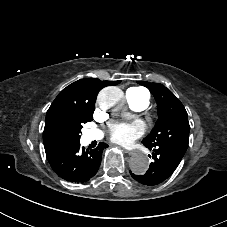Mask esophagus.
<instances>
[{
    "label": "esophagus",
    "instance_id": "esophagus-1",
    "mask_svg": "<svg viewBox=\"0 0 227 227\" xmlns=\"http://www.w3.org/2000/svg\"><path fill=\"white\" fill-rule=\"evenodd\" d=\"M125 152L128 153L131 158H136L137 157V152L134 149L125 150Z\"/></svg>",
    "mask_w": 227,
    "mask_h": 227
}]
</instances>
